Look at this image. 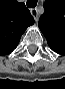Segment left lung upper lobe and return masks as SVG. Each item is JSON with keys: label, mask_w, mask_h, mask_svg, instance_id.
Masks as SVG:
<instances>
[{"label": "left lung upper lobe", "mask_w": 65, "mask_h": 89, "mask_svg": "<svg viewBox=\"0 0 65 89\" xmlns=\"http://www.w3.org/2000/svg\"><path fill=\"white\" fill-rule=\"evenodd\" d=\"M38 26L49 46L65 48V0H45Z\"/></svg>", "instance_id": "5c2ea615"}]
</instances>
